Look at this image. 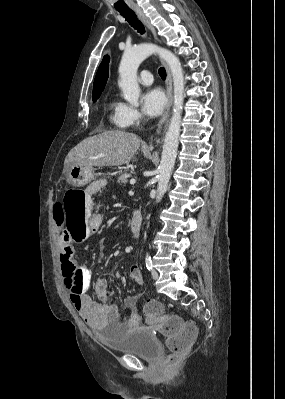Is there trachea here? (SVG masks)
<instances>
[{"instance_id": "3493384b", "label": "trachea", "mask_w": 285, "mask_h": 399, "mask_svg": "<svg viewBox=\"0 0 285 399\" xmlns=\"http://www.w3.org/2000/svg\"><path fill=\"white\" fill-rule=\"evenodd\" d=\"M118 12L126 19V21L134 28L136 29L139 33L144 34L145 33V28L143 24L138 20L135 12L131 9H126V10H118ZM159 75L162 79H166V71L165 68L161 67L159 68Z\"/></svg>"}]
</instances>
